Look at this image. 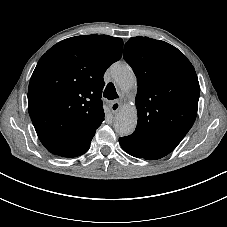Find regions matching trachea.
Returning a JSON list of instances; mask_svg holds the SVG:
<instances>
[{"label":"trachea","mask_w":227,"mask_h":227,"mask_svg":"<svg viewBox=\"0 0 227 227\" xmlns=\"http://www.w3.org/2000/svg\"><path fill=\"white\" fill-rule=\"evenodd\" d=\"M103 96L108 100H114L118 98V94L116 92V88L113 83H109L103 93Z\"/></svg>","instance_id":"1"}]
</instances>
